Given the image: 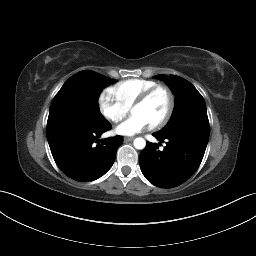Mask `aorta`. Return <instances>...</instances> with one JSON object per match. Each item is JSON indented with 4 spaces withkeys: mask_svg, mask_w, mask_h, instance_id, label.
<instances>
[{
    "mask_svg": "<svg viewBox=\"0 0 256 256\" xmlns=\"http://www.w3.org/2000/svg\"><path fill=\"white\" fill-rule=\"evenodd\" d=\"M133 145L136 149L142 150L146 146V141L143 138L138 137L134 140Z\"/></svg>",
    "mask_w": 256,
    "mask_h": 256,
    "instance_id": "aorta-1",
    "label": "aorta"
}]
</instances>
